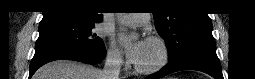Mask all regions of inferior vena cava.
<instances>
[{
	"mask_svg": "<svg viewBox=\"0 0 255 79\" xmlns=\"http://www.w3.org/2000/svg\"><path fill=\"white\" fill-rule=\"evenodd\" d=\"M122 58L115 52H109L103 70L101 71L102 79H119Z\"/></svg>",
	"mask_w": 255,
	"mask_h": 79,
	"instance_id": "1",
	"label": "inferior vena cava"
}]
</instances>
